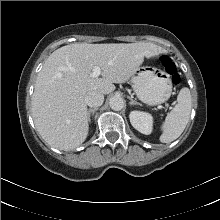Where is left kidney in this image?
Returning a JSON list of instances; mask_svg holds the SVG:
<instances>
[{
	"instance_id": "1",
	"label": "left kidney",
	"mask_w": 220,
	"mask_h": 220,
	"mask_svg": "<svg viewBox=\"0 0 220 220\" xmlns=\"http://www.w3.org/2000/svg\"><path fill=\"white\" fill-rule=\"evenodd\" d=\"M131 125L142 134L149 135L153 129V117L143 111H132L129 115Z\"/></svg>"
}]
</instances>
